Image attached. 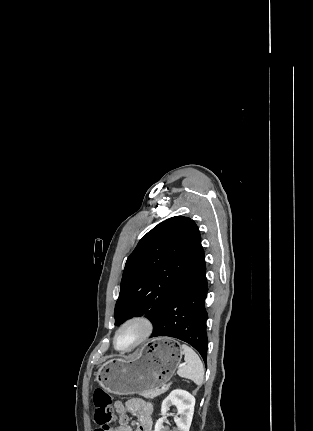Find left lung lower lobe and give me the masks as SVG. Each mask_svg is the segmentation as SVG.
I'll return each instance as SVG.
<instances>
[{
    "mask_svg": "<svg viewBox=\"0 0 313 431\" xmlns=\"http://www.w3.org/2000/svg\"><path fill=\"white\" fill-rule=\"evenodd\" d=\"M208 291L203 259L193 275L175 292L154 323L152 337L170 336L193 346L207 361L205 299Z\"/></svg>",
    "mask_w": 313,
    "mask_h": 431,
    "instance_id": "obj_1",
    "label": "left lung lower lobe"
}]
</instances>
